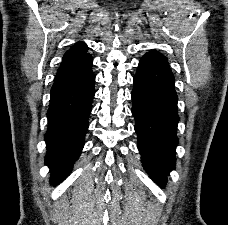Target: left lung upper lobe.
Wrapping results in <instances>:
<instances>
[{"instance_id": "obj_1", "label": "left lung upper lobe", "mask_w": 228, "mask_h": 225, "mask_svg": "<svg viewBox=\"0 0 228 225\" xmlns=\"http://www.w3.org/2000/svg\"><path fill=\"white\" fill-rule=\"evenodd\" d=\"M146 54L151 55V56L156 57V58L167 60L164 55H162L161 53H158L156 51H150V52H148Z\"/></svg>"}]
</instances>
